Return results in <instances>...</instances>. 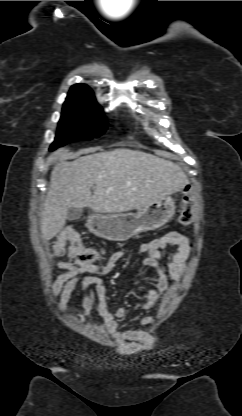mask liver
I'll list each match as a JSON object with an SVG mask.
<instances>
[{"label": "liver", "mask_w": 242, "mask_h": 416, "mask_svg": "<svg viewBox=\"0 0 242 416\" xmlns=\"http://www.w3.org/2000/svg\"><path fill=\"white\" fill-rule=\"evenodd\" d=\"M187 183L177 164L126 148L58 162L51 172L40 220L41 238L51 240L63 229L70 207L107 214L140 211L181 191Z\"/></svg>", "instance_id": "obj_1"}]
</instances>
